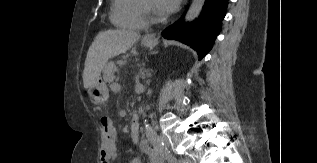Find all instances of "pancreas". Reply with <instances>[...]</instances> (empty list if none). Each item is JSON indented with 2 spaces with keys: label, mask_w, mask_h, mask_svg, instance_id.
<instances>
[{
  "label": "pancreas",
  "mask_w": 317,
  "mask_h": 163,
  "mask_svg": "<svg viewBox=\"0 0 317 163\" xmlns=\"http://www.w3.org/2000/svg\"><path fill=\"white\" fill-rule=\"evenodd\" d=\"M117 70L114 62H108L103 69V79L108 83H112L115 79L114 72Z\"/></svg>",
  "instance_id": "obj_1"
}]
</instances>
